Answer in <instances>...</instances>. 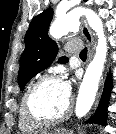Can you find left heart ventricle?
<instances>
[{"label":"left heart ventricle","mask_w":116,"mask_h":134,"mask_svg":"<svg viewBox=\"0 0 116 134\" xmlns=\"http://www.w3.org/2000/svg\"><path fill=\"white\" fill-rule=\"evenodd\" d=\"M70 100L64 95L60 81L44 84L33 97V107L38 114L58 116L66 111Z\"/></svg>","instance_id":"b2bd125f"}]
</instances>
